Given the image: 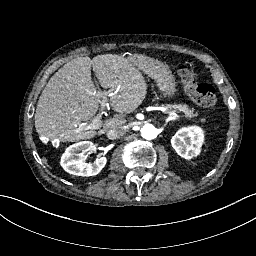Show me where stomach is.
<instances>
[{
  "label": "stomach",
  "instance_id": "stomach-1",
  "mask_svg": "<svg viewBox=\"0 0 256 256\" xmlns=\"http://www.w3.org/2000/svg\"><path fill=\"white\" fill-rule=\"evenodd\" d=\"M135 65L142 72L152 75L164 96L172 97L176 92L174 77L167 65L160 59L147 53H140L135 58Z\"/></svg>",
  "mask_w": 256,
  "mask_h": 256
}]
</instances>
